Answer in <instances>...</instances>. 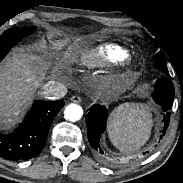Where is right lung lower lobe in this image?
I'll use <instances>...</instances> for the list:
<instances>
[{
    "label": "right lung lower lobe",
    "instance_id": "right-lung-lower-lobe-1",
    "mask_svg": "<svg viewBox=\"0 0 183 183\" xmlns=\"http://www.w3.org/2000/svg\"><path fill=\"white\" fill-rule=\"evenodd\" d=\"M7 53L0 54V61ZM63 106L62 100H35L23 122L14 132H0V156L13 161L37 156L44 148L54 117Z\"/></svg>",
    "mask_w": 183,
    "mask_h": 183
}]
</instances>
